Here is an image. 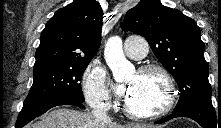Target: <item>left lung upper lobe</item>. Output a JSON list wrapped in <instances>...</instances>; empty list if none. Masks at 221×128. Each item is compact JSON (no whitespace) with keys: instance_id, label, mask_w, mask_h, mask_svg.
Segmentation results:
<instances>
[{"instance_id":"obj_1","label":"left lung upper lobe","mask_w":221,"mask_h":128,"mask_svg":"<svg viewBox=\"0 0 221 128\" xmlns=\"http://www.w3.org/2000/svg\"><path fill=\"white\" fill-rule=\"evenodd\" d=\"M121 27L143 36L178 83L180 99L173 112L193 105L213 107L204 43L194 20L160 0H141L126 13Z\"/></svg>"}]
</instances>
